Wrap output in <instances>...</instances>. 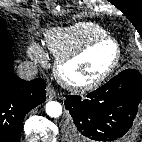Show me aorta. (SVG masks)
Listing matches in <instances>:
<instances>
[{"label":"aorta","mask_w":142,"mask_h":142,"mask_svg":"<svg viewBox=\"0 0 142 142\" xmlns=\"http://www.w3.org/2000/svg\"><path fill=\"white\" fill-rule=\"evenodd\" d=\"M46 113L52 118H57L62 113V106L57 101H50L46 104Z\"/></svg>","instance_id":"1"}]
</instances>
